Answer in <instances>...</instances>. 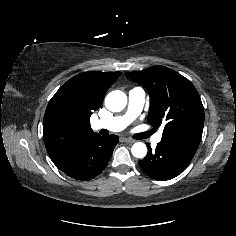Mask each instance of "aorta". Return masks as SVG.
Masks as SVG:
<instances>
[{"label":"aorta","instance_id":"aorta-1","mask_svg":"<svg viewBox=\"0 0 236 236\" xmlns=\"http://www.w3.org/2000/svg\"><path fill=\"white\" fill-rule=\"evenodd\" d=\"M127 104V96L124 92L115 90L110 92L105 98V106L112 112L122 111ZM131 153L136 158H144L147 154V147L142 142L133 144Z\"/></svg>","mask_w":236,"mask_h":236}]
</instances>
